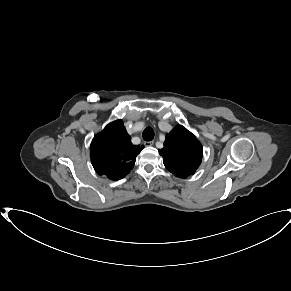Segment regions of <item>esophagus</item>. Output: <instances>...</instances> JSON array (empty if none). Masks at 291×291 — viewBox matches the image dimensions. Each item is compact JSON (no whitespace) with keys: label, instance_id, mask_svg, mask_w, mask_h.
Here are the masks:
<instances>
[{"label":"esophagus","instance_id":"obj_1","mask_svg":"<svg viewBox=\"0 0 291 291\" xmlns=\"http://www.w3.org/2000/svg\"><path fill=\"white\" fill-rule=\"evenodd\" d=\"M153 144H154L153 141H145V142H144V145H145V146H152Z\"/></svg>","mask_w":291,"mask_h":291}]
</instances>
